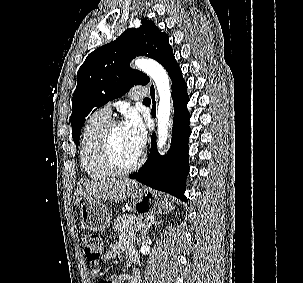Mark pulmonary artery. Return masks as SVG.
<instances>
[{
	"instance_id": "e3ab8cb5",
	"label": "pulmonary artery",
	"mask_w": 303,
	"mask_h": 283,
	"mask_svg": "<svg viewBox=\"0 0 303 283\" xmlns=\"http://www.w3.org/2000/svg\"><path fill=\"white\" fill-rule=\"evenodd\" d=\"M147 95H148V90L146 87L143 86L133 87L129 92V97L134 100L143 99L147 97ZM100 111L106 116L111 117L112 109L109 105L103 107Z\"/></svg>"
}]
</instances>
